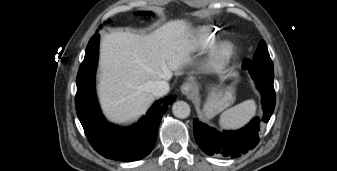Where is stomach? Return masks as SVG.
I'll use <instances>...</instances> for the list:
<instances>
[{
	"mask_svg": "<svg viewBox=\"0 0 337 171\" xmlns=\"http://www.w3.org/2000/svg\"><path fill=\"white\" fill-rule=\"evenodd\" d=\"M235 76V75H234ZM233 87H228L225 90L213 89L204 104V114L206 117L221 112L234 102Z\"/></svg>",
	"mask_w": 337,
	"mask_h": 171,
	"instance_id": "1",
	"label": "stomach"
}]
</instances>
